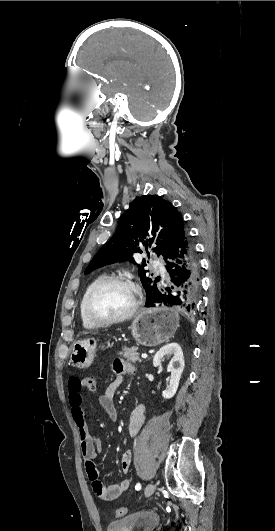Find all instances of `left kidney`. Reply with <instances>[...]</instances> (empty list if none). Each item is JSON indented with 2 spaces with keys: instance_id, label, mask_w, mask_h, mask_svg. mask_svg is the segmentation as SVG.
<instances>
[{
  "instance_id": "left-kidney-1",
  "label": "left kidney",
  "mask_w": 275,
  "mask_h": 531,
  "mask_svg": "<svg viewBox=\"0 0 275 531\" xmlns=\"http://www.w3.org/2000/svg\"><path fill=\"white\" fill-rule=\"evenodd\" d=\"M166 355H174L172 361L176 365V367H171L169 387H167L166 391H163L162 393L164 399H171V397L176 395L185 363L181 347H179L178 343H170V345H165V347H161V349L157 351L153 359V367H159Z\"/></svg>"
}]
</instances>
